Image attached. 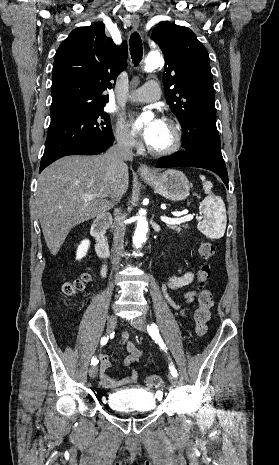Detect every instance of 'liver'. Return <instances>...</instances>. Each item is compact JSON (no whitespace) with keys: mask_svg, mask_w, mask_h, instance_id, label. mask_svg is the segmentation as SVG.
Returning <instances> with one entry per match:
<instances>
[{"mask_svg":"<svg viewBox=\"0 0 279 465\" xmlns=\"http://www.w3.org/2000/svg\"><path fill=\"white\" fill-rule=\"evenodd\" d=\"M128 167L116 170L105 154L65 156L38 177L36 209L45 242L52 255L59 252L68 233L78 224L100 216L112 206V198L128 190ZM85 194H99L86 201Z\"/></svg>","mask_w":279,"mask_h":465,"instance_id":"1","label":"liver"}]
</instances>
